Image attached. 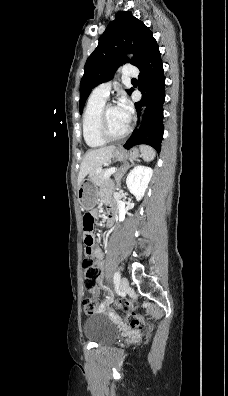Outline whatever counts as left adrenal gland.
Wrapping results in <instances>:
<instances>
[{
    "instance_id": "obj_1",
    "label": "left adrenal gland",
    "mask_w": 228,
    "mask_h": 396,
    "mask_svg": "<svg viewBox=\"0 0 228 396\" xmlns=\"http://www.w3.org/2000/svg\"><path fill=\"white\" fill-rule=\"evenodd\" d=\"M134 165H135V162H132L131 165H126L122 170L116 172V174L114 175V178H115V180H116L117 187H120V186H121V179H122L123 175L126 173V171H127L131 166H134Z\"/></svg>"
}]
</instances>
